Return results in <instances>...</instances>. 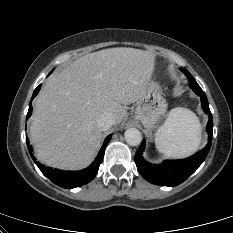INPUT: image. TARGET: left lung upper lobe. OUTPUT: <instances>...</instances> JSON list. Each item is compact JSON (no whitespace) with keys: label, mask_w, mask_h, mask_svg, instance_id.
<instances>
[{"label":"left lung upper lobe","mask_w":233,"mask_h":233,"mask_svg":"<svg viewBox=\"0 0 233 233\" xmlns=\"http://www.w3.org/2000/svg\"><path fill=\"white\" fill-rule=\"evenodd\" d=\"M190 82L195 81L192 75L185 69H182Z\"/></svg>","instance_id":"obj_1"}]
</instances>
